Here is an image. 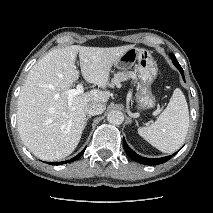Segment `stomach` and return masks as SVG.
<instances>
[{"instance_id": "obj_1", "label": "stomach", "mask_w": 213, "mask_h": 213, "mask_svg": "<svg viewBox=\"0 0 213 213\" xmlns=\"http://www.w3.org/2000/svg\"><path fill=\"white\" fill-rule=\"evenodd\" d=\"M134 65L137 67L141 84L136 97L139 108H152L155 105V99L151 94L150 86L157 76L156 62L149 50L135 47L126 51L115 62V66L121 70L130 69Z\"/></svg>"}]
</instances>
